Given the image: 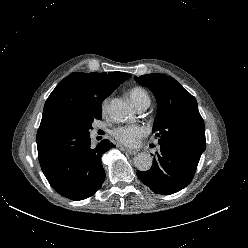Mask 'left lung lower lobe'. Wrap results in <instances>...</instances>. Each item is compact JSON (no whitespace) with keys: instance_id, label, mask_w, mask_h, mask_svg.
I'll list each match as a JSON object with an SVG mask.
<instances>
[{"instance_id":"1","label":"left lung lower lobe","mask_w":248,"mask_h":248,"mask_svg":"<svg viewBox=\"0 0 248 248\" xmlns=\"http://www.w3.org/2000/svg\"><path fill=\"white\" fill-rule=\"evenodd\" d=\"M198 162L193 161L181 150L161 146L148 171H138L137 176L157 194L169 195L185 188L193 179Z\"/></svg>"}]
</instances>
